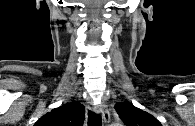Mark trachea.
Instances as JSON below:
<instances>
[{
	"instance_id": "3493384b",
	"label": "trachea",
	"mask_w": 195,
	"mask_h": 126,
	"mask_svg": "<svg viewBox=\"0 0 195 126\" xmlns=\"http://www.w3.org/2000/svg\"><path fill=\"white\" fill-rule=\"evenodd\" d=\"M88 126H102L101 115L88 111Z\"/></svg>"
}]
</instances>
